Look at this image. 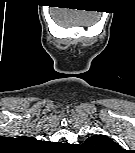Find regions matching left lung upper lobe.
Masks as SVG:
<instances>
[{
	"label": "left lung upper lobe",
	"mask_w": 135,
	"mask_h": 153,
	"mask_svg": "<svg viewBox=\"0 0 135 153\" xmlns=\"http://www.w3.org/2000/svg\"><path fill=\"white\" fill-rule=\"evenodd\" d=\"M84 145L90 149L104 152L119 148L118 144L113 142L109 137L105 135L91 136L84 142Z\"/></svg>",
	"instance_id": "left-lung-upper-lobe-1"
}]
</instances>
